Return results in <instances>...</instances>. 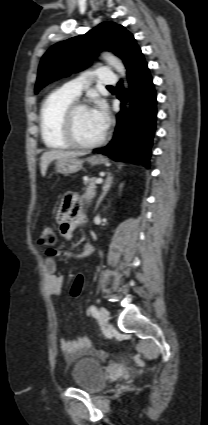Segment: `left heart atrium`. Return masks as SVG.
Listing matches in <instances>:
<instances>
[{
	"label": "left heart atrium",
	"instance_id": "obj_1",
	"mask_svg": "<svg viewBox=\"0 0 208 425\" xmlns=\"http://www.w3.org/2000/svg\"><path fill=\"white\" fill-rule=\"evenodd\" d=\"M91 112L100 128L105 131L109 122L108 112L105 105L101 102H97L91 109Z\"/></svg>",
	"mask_w": 208,
	"mask_h": 425
}]
</instances>
